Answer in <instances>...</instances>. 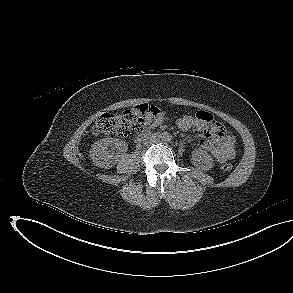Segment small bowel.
Returning <instances> with one entry per match:
<instances>
[{
    "label": "small bowel",
    "instance_id": "small-bowel-1",
    "mask_svg": "<svg viewBox=\"0 0 293 293\" xmlns=\"http://www.w3.org/2000/svg\"><path fill=\"white\" fill-rule=\"evenodd\" d=\"M135 109L144 116V125L147 127H156L166 119L165 113L154 105L144 103ZM200 112L209 115L210 119L200 118L198 116ZM177 126L182 131L195 128L199 132L197 136L199 147L209 151L216 161L223 163L235 157L234 137L211 114L199 111L195 116L185 115L178 119Z\"/></svg>",
    "mask_w": 293,
    "mask_h": 293
}]
</instances>
